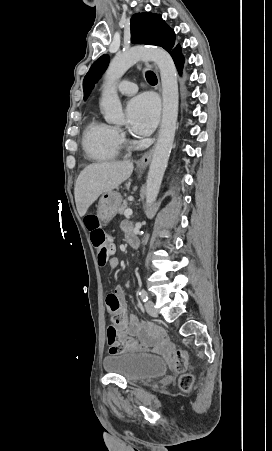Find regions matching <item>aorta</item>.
Masks as SVG:
<instances>
[{
  "label": "aorta",
  "mask_w": 272,
  "mask_h": 451,
  "mask_svg": "<svg viewBox=\"0 0 272 451\" xmlns=\"http://www.w3.org/2000/svg\"><path fill=\"white\" fill-rule=\"evenodd\" d=\"M139 60H153L157 64L162 84V122L159 138L155 150H153L146 186V206H152L156 202L168 164L178 118V82L175 64L170 54L162 48H142V46L130 48L122 54H116L105 72L100 110L108 124L124 122V114L115 84Z\"/></svg>",
  "instance_id": "1"
}]
</instances>
